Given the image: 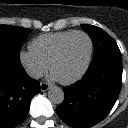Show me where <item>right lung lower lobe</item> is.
<instances>
[{
  "mask_svg": "<svg viewBox=\"0 0 128 128\" xmlns=\"http://www.w3.org/2000/svg\"><path fill=\"white\" fill-rule=\"evenodd\" d=\"M41 91L21 64L0 57V128H14L26 118L30 101Z\"/></svg>",
  "mask_w": 128,
  "mask_h": 128,
  "instance_id": "right-lung-lower-lobe-1",
  "label": "right lung lower lobe"
}]
</instances>
